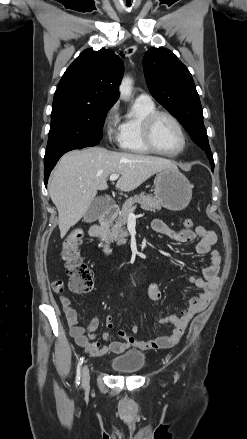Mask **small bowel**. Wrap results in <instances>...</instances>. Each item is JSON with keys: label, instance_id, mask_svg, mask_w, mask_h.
Returning <instances> with one entry per match:
<instances>
[{"label": "small bowel", "instance_id": "1", "mask_svg": "<svg viewBox=\"0 0 247 439\" xmlns=\"http://www.w3.org/2000/svg\"><path fill=\"white\" fill-rule=\"evenodd\" d=\"M152 229L161 235H164L177 243H189L196 238L199 239L196 245V252L199 255H209L211 264L203 269V277L191 276L189 282L201 290V293L189 301V305L180 315H171L166 318H157L159 324L173 325L172 333L168 336L155 337L148 340H138L134 336L128 335L125 330L120 329L118 335L124 339L121 341H111L108 345H101L94 342L96 337L95 331L99 327L100 320L97 316L92 317L86 327L78 325L77 312L73 308L70 299L64 295V283L60 280L52 283L53 291L59 296L62 305L69 332L75 339L77 345L82 347L90 356L100 357L108 353L121 354L126 349L133 347L141 350L164 349L174 346L183 336L185 329L192 317L203 310L211 301L214 291L219 283L218 273L220 270L221 256L218 251L212 250L217 241L216 234L204 226H197L195 230L181 229L174 230L164 221L155 219L152 221ZM149 298L157 301L161 297L159 286L152 283L148 287ZM108 328H113L114 322L112 316L105 319ZM131 331L137 334L139 325L135 323ZM103 338L110 340L109 333H104Z\"/></svg>", "mask_w": 247, "mask_h": 439}]
</instances>
